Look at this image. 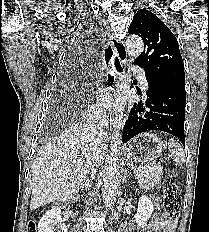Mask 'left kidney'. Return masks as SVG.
Here are the masks:
<instances>
[{"mask_svg": "<svg viewBox=\"0 0 209 232\" xmlns=\"http://www.w3.org/2000/svg\"><path fill=\"white\" fill-rule=\"evenodd\" d=\"M154 211V205L147 196H141L138 202V210L134 221L138 226L144 227Z\"/></svg>", "mask_w": 209, "mask_h": 232, "instance_id": "obj_1", "label": "left kidney"}]
</instances>
